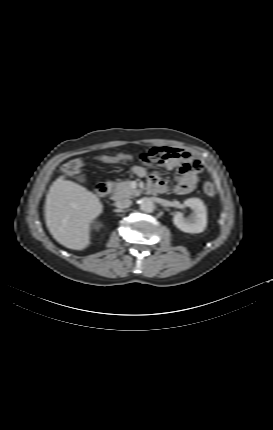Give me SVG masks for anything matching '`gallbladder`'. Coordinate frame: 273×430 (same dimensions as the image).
<instances>
[{
    "instance_id": "1",
    "label": "gallbladder",
    "mask_w": 273,
    "mask_h": 430,
    "mask_svg": "<svg viewBox=\"0 0 273 430\" xmlns=\"http://www.w3.org/2000/svg\"><path fill=\"white\" fill-rule=\"evenodd\" d=\"M77 180H78V181H80V182H85V181H86V179H85V176H84V175H80V176H78V177H77Z\"/></svg>"
}]
</instances>
